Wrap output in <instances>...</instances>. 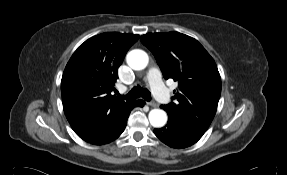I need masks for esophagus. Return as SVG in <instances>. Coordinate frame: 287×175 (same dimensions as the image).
Returning a JSON list of instances; mask_svg holds the SVG:
<instances>
[{
	"instance_id": "obj_1",
	"label": "esophagus",
	"mask_w": 287,
	"mask_h": 175,
	"mask_svg": "<svg viewBox=\"0 0 287 175\" xmlns=\"http://www.w3.org/2000/svg\"><path fill=\"white\" fill-rule=\"evenodd\" d=\"M148 105L151 106V107H153V108H156V107L159 106L158 103H156L155 101H150V102H148Z\"/></svg>"
}]
</instances>
